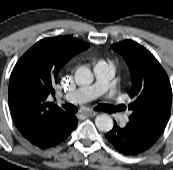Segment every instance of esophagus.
Listing matches in <instances>:
<instances>
[{"instance_id":"esophagus-1","label":"esophagus","mask_w":173,"mask_h":170,"mask_svg":"<svg viewBox=\"0 0 173 170\" xmlns=\"http://www.w3.org/2000/svg\"><path fill=\"white\" fill-rule=\"evenodd\" d=\"M98 114V112L96 111H92V110H88V111H85L84 112V115L87 116V117H94Z\"/></svg>"}]
</instances>
